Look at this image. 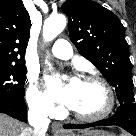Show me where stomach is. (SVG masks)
Masks as SVG:
<instances>
[{
	"instance_id": "1",
	"label": "stomach",
	"mask_w": 136,
	"mask_h": 136,
	"mask_svg": "<svg viewBox=\"0 0 136 136\" xmlns=\"http://www.w3.org/2000/svg\"><path fill=\"white\" fill-rule=\"evenodd\" d=\"M59 136H114V135L102 130H86L82 132L81 135L60 134Z\"/></svg>"
}]
</instances>
